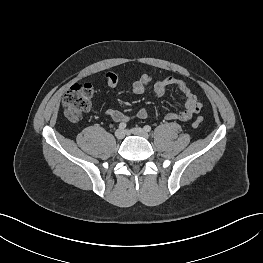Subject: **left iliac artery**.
Here are the masks:
<instances>
[{
    "instance_id": "44dca946",
    "label": "left iliac artery",
    "mask_w": 263,
    "mask_h": 263,
    "mask_svg": "<svg viewBox=\"0 0 263 263\" xmlns=\"http://www.w3.org/2000/svg\"><path fill=\"white\" fill-rule=\"evenodd\" d=\"M144 130L147 131V132H150L151 131V127L149 125H145L144 126Z\"/></svg>"
}]
</instances>
